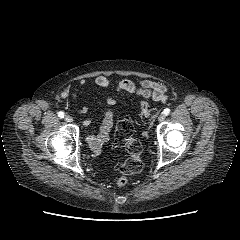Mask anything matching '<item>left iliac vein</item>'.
Masks as SVG:
<instances>
[{
    "instance_id": "1",
    "label": "left iliac vein",
    "mask_w": 240,
    "mask_h": 240,
    "mask_svg": "<svg viewBox=\"0 0 240 240\" xmlns=\"http://www.w3.org/2000/svg\"><path fill=\"white\" fill-rule=\"evenodd\" d=\"M165 120V114L164 113H161L159 116H158V121L159 122H162Z\"/></svg>"
}]
</instances>
